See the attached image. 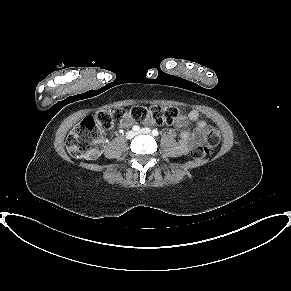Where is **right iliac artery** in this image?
<instances>
[{"label":"right iliac artery","mask_w":291,"mask_h":291,"mask_svg":"<svg viewBox=\"0 0 291 291\" xmlns=\"http://www.w3.org/2000/svg\"><path fill=\"white\" fill-rule=\"evenodd\" d=\"M134 131H139L140 127L138 125H135L133 128H132Z\"/></svg>","instance_id":"right-iliac-artery-1"}]
</instances>
